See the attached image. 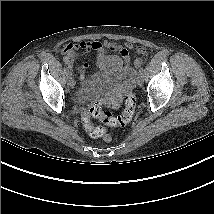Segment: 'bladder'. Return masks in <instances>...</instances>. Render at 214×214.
<instances>
[{
    "label": "bladder",
    "mask_w": 214,
    "mask_h": 214,
    "mask_svg": "<svg viewBox=\"0 0 214 214\" xmlns=\"http://www.w3.org/2000/svg\"><path fill=\"white\" fill-rule=\"evenodd\" d=\"M121 86L122 76L120 71L110 70L108 72H101L99 70L96 75L81 84L76 92V97L91 94L105 95L119 91Z\"/></svg>",
    "instance_id": "obj_1"
}]
</instances>
